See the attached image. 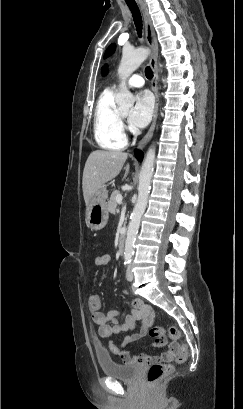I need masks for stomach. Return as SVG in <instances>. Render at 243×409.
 Segmentation results:
<instances>
[{
  "label": "stomach",
  "instance_id": "stomach-1",
  "mask_svg": "<svg viewBox=\"0 0 243 409\" xmlns=\"http://www.w3.org/2000/svg\"><path fill=\"white\" fill-rule=\"evenodd\" d=\"M108 190L105 186L100 188L93 196L86 208V223L91 230H101L107 224L109 214L106 205Z\"/></svg>",
  "mask_w": 243,
  "mask_h": 409
}]
</instances>
